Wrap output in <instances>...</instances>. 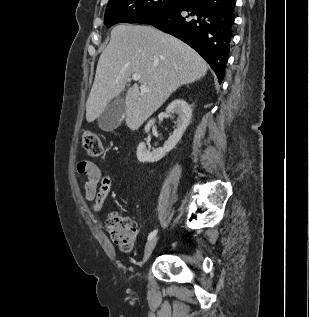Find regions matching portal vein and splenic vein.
I'll return each instance as SVG.
<instances>
[{"label":"portal vein and splenic vein","mask_w":309,"mask_h":317,"mask_svg":"<svg viewBox=\"0 0 309 317\" xmlns=\"http://www.w3.org/2000/svg\"><path fill=\"white\" fill-rule=\"evenodd\" d=\"M140 78H141L140 75L137 74V73H135V74L132 75V79H133L134 81H139ZM140 89H141V91H143V92L148 91V88L146 87V85H141V86H140Z\"/></svg>","instance_id":"obj_1"}]
</instances>
